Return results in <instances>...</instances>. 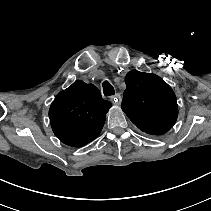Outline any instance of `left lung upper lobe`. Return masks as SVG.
Masks as SVG:
<instances>
[{
    "label": "left lung upper lobe",
    "mask_w": 211,
    "mask_h": 211,
    "mask_svg": "<svg viewBox=\"0 0 211 211\" xmlns=\"http://www.w3.org/2000/svg\"><path fill=\"white\" fill-rule=\"evenodd\" d=\"M125 83L121 106L128 118L147 134L168 132L178 116L172 88L159 76L136 70L126 75Z\"/></svg>",
    "instance_id": "1"
}]
</instances>
